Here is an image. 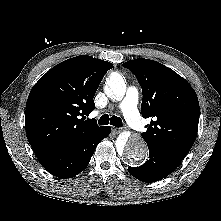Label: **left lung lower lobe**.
I'll return each mask as SVG.
<instances>
[{
	"label": "left lung lower lobe",
	"mask_w": 221,
	"mask_h": 221,
	"mask_svg": "<svg viewBox=\"0 0 221 221\" xmlns=\"http://www.w3.org/2000/svg\"><path fill=\"white\" fill-rule=\"evenodd\" d=\"M149 160L140 167H128V172L144 182H156L171 174L183 159L161 149L148 146Z\"/></svg>",
	"instance_id": "left-lung-lower-lobe-1"
}]
</instances>
